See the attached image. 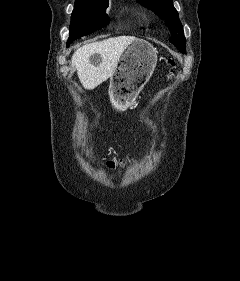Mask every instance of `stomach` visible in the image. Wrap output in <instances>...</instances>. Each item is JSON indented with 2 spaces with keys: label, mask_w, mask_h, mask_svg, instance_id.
I'll return each mask as SVG.
<instances>
[{
  "label": "stomach",
  "mask_w": 240,
  "mask_h": 281,
  "mask_svg": "<svg viewBox=\"0 0 240 281\" xmlns=\"http://www.w3.org/2000/svg\"><path fill=\"white\" fill-rule=\"evenodd\" d=\"M156 64L157 51L149 42L136 39L127 46L110 78L109 93L114 110H122L135 101Z\"/></svg>",
  "instance_id": "1"
}]
</instances>
